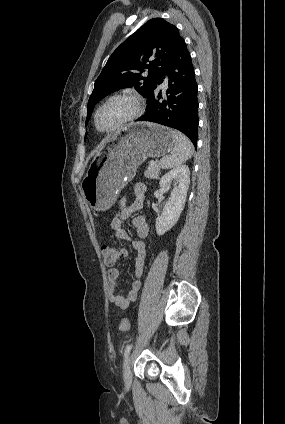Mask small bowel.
Returning <instances> with one entry per match:
<instances>
[{
	"mask_svg": "<svg viewBox=\"0 0 285 424\" xmlns=\"http://www.w3.org/2000/svg\"><path fill=\"white\" fill-rule=\"evenodd\" d=\"M146 187L143 184H138L135 187L133 199L123 198L121 201V210L111 221V229L117 238L127 240L131 243L136 255L134 258L133 275L135 280L132 282L128 294L125 296L119 292L117 281L119 278V270L110 268L107 272L108 276V298L118 308L126 309L131 302L135 301L141 288L140 278L143 275L146 260V244L143 241L148 234V225L146 219L142 215L132 217V225L136 230L137 239L132 238L124 229L123 223L129 219L137 210H139L144 201ZM121 256L127 253L125 250H120Z\"/></svg>",
	"mask_w": 285,
	"mask_h": 424,
	"instance_id": "1",
	"label": "small bowel"
}]
</instances>
